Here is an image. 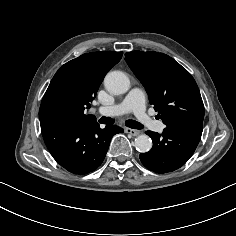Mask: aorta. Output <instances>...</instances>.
Returning <instances> with one entry per match:
<instances>
[{"label":"aorta","instance_id":"obj_1","mask_svg":"<svg viewBox=\"0 0 236 236\" xmlns=\"http://www.w3.org/2000/svg\"><path fill=\"white\" fill-rule=\"evenodd\" d=\"M104 86L108 92L120 95L129 90L130 80L122 71H111L105 76ZM134 145L136 150L146 153L152 148V140L148 135L142 134L135 138Z\"/></svg>","mask_w":236,"mask_h":236}]
</instances>
